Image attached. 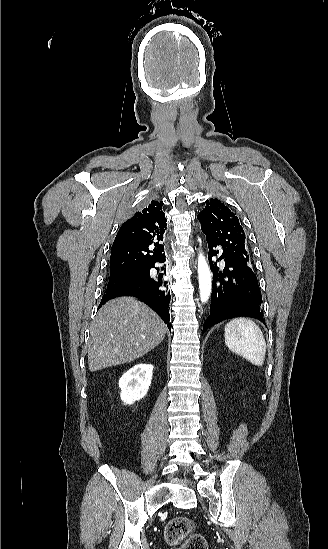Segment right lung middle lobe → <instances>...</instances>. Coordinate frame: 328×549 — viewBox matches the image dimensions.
Wrapping results in <instances>:
<instances>
[{
  "label": "right lung middle lobe",
  "mask_w": 328,
  "mask_h": 549,
  "mask_svg": "<svg viewBox=\"0 0 328 549\" xmlns=\"http://www.w3.org/2000/svg\"><path fill=\"white\" fill-rule=\"evenodd\" d=\"M148 274V270H134L118 274H111L107 290L121 286L123 284L143 280Z\"/></svg>",
  "instance_id": "dd1d6c3e"
}]
</instances>
